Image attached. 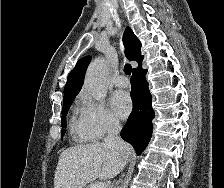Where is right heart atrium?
Returning <instances> with one entry per match:
<instances>
[{"label":"right heart atrium","instance_id":"d8ad5b80","mask_svg":"<svg viewBox=\"0 0 224 188\" xmlns=\"http://www.w3.org/2000/svg\"><path fill=\"white\" fill-rule=\"evenodd\" d=\"M81 101L82 123L93 139H103L119 129V121L103 102L94 100L87 93L82 94Z\"/></svg>","mask_w":224,"mask_h":188}]
</instances>
